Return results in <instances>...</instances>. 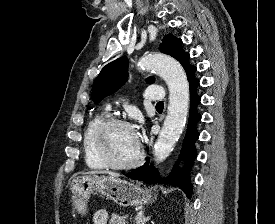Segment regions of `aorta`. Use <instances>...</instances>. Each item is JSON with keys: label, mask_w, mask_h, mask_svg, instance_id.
<instances>
[{"label": "aorta", "mask_w": 275, "mask_h": 224, "mask_svg": "<svg viewBox=\"0 0 275 224\" xmlns=\"http://www.w3.org/2000/svg\"><path fill=\"white\" fill-rule=\"evenodd\" d=\"M138 66L160 75L169 88L168 113L154 145V158L165 160L183 132L189 109V83L182 66L173 58L161 54L142 57Z\"/></svg>", "instance_id": "obj_1"}]
</instances>
